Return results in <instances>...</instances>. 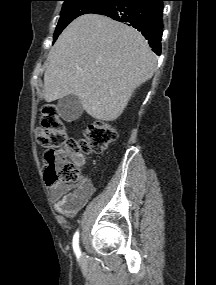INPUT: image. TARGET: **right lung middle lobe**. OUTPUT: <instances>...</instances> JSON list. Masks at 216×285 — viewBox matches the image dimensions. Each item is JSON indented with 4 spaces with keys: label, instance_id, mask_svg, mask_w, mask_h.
Wrapping results in <instances>:
<instances>
[{
    "label": "right lung middle lobe",
    "instance_id": "right-lung-middle-lobe-1",
    "mask_svg": "<svg viewBox=\"0 0 216 285\" xmlns=\"http://www.w3.org/2000/svg\"><path fill=\"white\" fill-rule=\"evenodd\" d=\"M64 1L61 16L56 26L53 42L63 29L75 18L83 14L93 13L96 10L112 3L114 0H62Z\"/></svg>",
    "mask_w": 216,
    "mask_h": 285
}]
</instances>
